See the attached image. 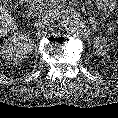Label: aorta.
<instances>
[{"label":"aorta","instance_id":"obj_1","mask_svg":"<svg viewBox=\"0 0 118 118\" xmlns=\"http://www.w3.org/2000/svg\"><path fill=\"white\" fill-rule=\"evenodd\" d=\"M63 25L68 33L78 36L84 33L85 27L81 20L68 17L63 21Z\"/></svg>","mask_w":118,"mask_h":118}]
</instances>
